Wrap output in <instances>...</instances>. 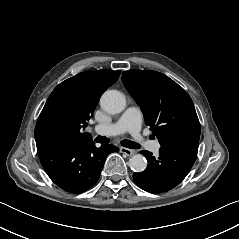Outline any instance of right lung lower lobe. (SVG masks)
<instances>
[{
    "mask_svg": "<svg viewBox=\"0 0 239 239\" xmlns=\"http://www.w3.org/2000/svg\"><path fill=\"white\" fill-rule=\"evenodd\" d=\"M112 145L97 148L92 140L74 143L50 140L37 145L43 168L61 189L81 193L98 180L108 154L118 152Z\"/></svg>",
    "mask_w": 239,
    "mask_h": 239,
    "instance_id": "right-lung-lower-lobe-1",
    "label": "right lung lower lobe"
}]
</instances>
